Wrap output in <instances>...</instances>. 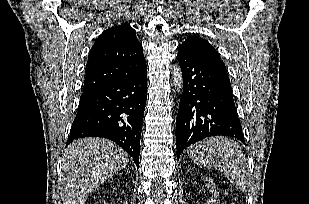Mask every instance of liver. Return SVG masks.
I'll return each instance as SVG.
<instances>
[{"label": "liver", "mask_w": 309, "mask_h": 204, "mask_svg": "<svg viewBox=\"0 0 309 204\" xmlns=\"http://www.w3.org/2000/svg\"><path fill=\"white\" fill-rule=\"evenodd\" d=\"M128 162V154L110 140L83 138L74 141L63 154L59 182L63 204H84L94 189Z\"/></svg>", "instance_id": "obj_1"}]
</instances>
